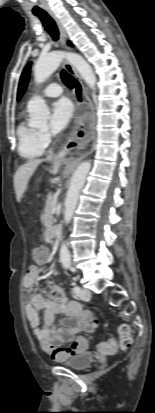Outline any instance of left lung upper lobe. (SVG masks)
Masks as SVG:
<instances>
[{
    "label": "left lung upper lobe",
    "mask_w": 155,
    "mask_h": 413,
    "mask_svg": "<svg viewBox=\"0 0 155 413\" xmlns=\"http://www.w3.org/2000/svg\"><path fill=\"white\" fill-rule=\"evenodd\" d=\"M29 73H30V63L24 68L23 73L20 78L19 87H18V95H17L18 100L21 98V96L23 95L27 87Z\"/></svg>",
    "instance_id": "1"
}]
</instances>
